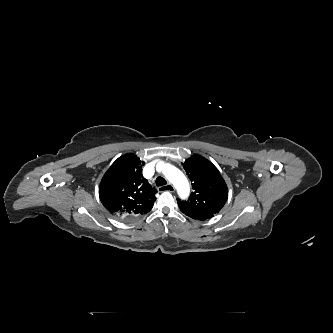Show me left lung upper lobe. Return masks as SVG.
<instances>
[{
	"label": "left lung upper lobe",
	"mask_w": 333,
	"mask_h": 333,
	"mask_svg": "<svg viewBox=\"0 0 333 333\" xmlns=\"http://www.w3.org/2000/svg\"><path fill=\"white\" fill-rule=\"evenodd\" d=\"M183 167L192 182L193 192L189 199H177L180 209L212 217L217 214L228 198V188L218 169L206 158L193 155Z\"/></svg>",
	"instance_id": "obj_1"
}]
</instances>
